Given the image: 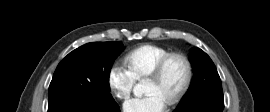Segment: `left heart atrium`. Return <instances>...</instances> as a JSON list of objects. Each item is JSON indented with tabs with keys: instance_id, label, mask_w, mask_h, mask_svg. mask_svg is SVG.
I'll return each mask as SVG.
<instances>
[{
	"instance_id": "obj_1",
	"label": "left heart atrium",
	"mask_w": 270,
	"mask_h": 112,
	"mask_svg": "<svg viewBox=\"0 0 270 112\" xmlns=\"http://www.w3.org/2000/svg\"><path fill=\"white\" fill-rule=\"evenodd\" d=\"M167 102L158 94H146L126 101L123 105L124 112H164Z\"/></svg>"
}]
</instances>
